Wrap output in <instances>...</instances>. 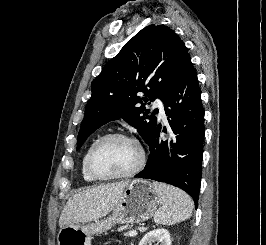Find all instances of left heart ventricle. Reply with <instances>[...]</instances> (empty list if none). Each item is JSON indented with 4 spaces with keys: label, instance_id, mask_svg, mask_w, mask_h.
<instances>
[{
    "label": "left heart ventricle",
    "instance_id": "1",
    "mask_svg": "<svg viewBox=\"0 0 266 245\" xmlns=\"http://www.w3.org/2000/svg\"><path fill=\"white\" fill-rule=\"evenodd\" d=\"M139 158L137 146L119 138L104 142L93 156L96 171L103 176L122 175L134 168Z\"/></svg>",
    "mask_w": 266,
    "mask_h": 245
}]
</instances>
